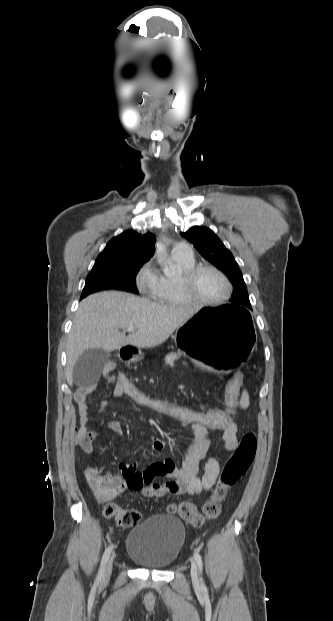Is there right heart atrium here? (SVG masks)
I'll return each instance as SVG.
<instances>
[{"label": "right heart atrium", "instance_id": "right-heart-atrium-1", "mask_svg": "<svg viewBox=\"0 0 333 621\" xmlns=\"http://www.w3.org/2000/svg\"><path fill=\"white\" fill-rule=\"evenodd\" d=\"M159 282L158 275L154 272L150 264L144 265L136 277L138 289L150 296H153L157 290Z\"/></svg>", "mask_w": 333, "mask_h": 621}]
</instances>
